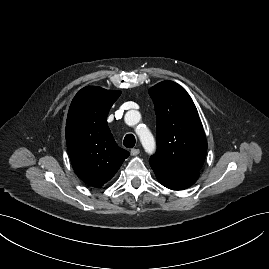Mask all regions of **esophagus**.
Listing matches in <instances>:
<instances>
[{"label":"esophagus","instance_id":"34e87169","mask_svg":"<svg viewBox=\"0 0 269 269\" xmlns=\"http://www.w3.org/2000/svg\"><path fill=\"white\" fill-rule=\"evenodd\" d=\"M139 153H140V150H139V149H136V148H133V149H131V151H130V154H131L132 156H137Z\"/></svg>","mask_w":269,"mask_h":269}]
</instances>
